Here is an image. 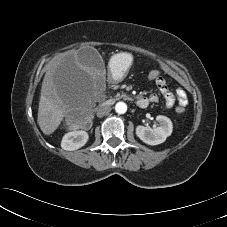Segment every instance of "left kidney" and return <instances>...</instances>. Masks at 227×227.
Returning a JSON list of instances; mask_svg holds the SVG:
<instances>
[{"instance_id":"5707ae66","label":"left kidney","mask_w":227,"mask_h":227,"mask_svg":"<svg viewBox=\"0 0 227 227\" xmlns=\"http://www.w3.org/2000/svg\"><path fill=\"white\" fill-rule=\"evenodd\" d=\"M156 120L159 126L154 129L140 125L136 127V135L148 145L163 143L173 131L172 121L168 117L158 115Z\"/></svg>"}]
</instances>
